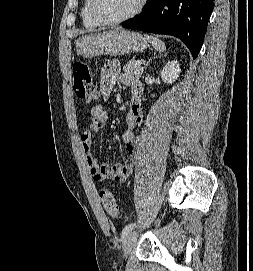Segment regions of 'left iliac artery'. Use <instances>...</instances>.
Segmentation results:
<instances>
[{
    "label": "left iliac artery",
    "instance_id": "1",
    "mask_svg": "<svg viewBox=\"0 0 253 271\" xmlns=\"http://www.w3.org/2000/svg\"><path fill=\"white\" fill-rule=\"evenodd\" d=\"M134 226H135V223H130L126 225L124 229L122 230V237L126 236L129 232H131Z\"/></svg>",
    "mask_w": 253,
    "mask_h": 271
}]
</instances>
